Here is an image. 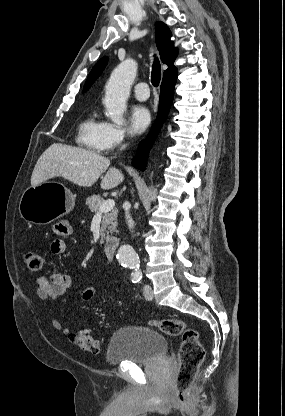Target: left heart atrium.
<instances>
[{
  "mask_svg": "<svg viewBox=\"0 0 285 416\" xmlns=\"http://www.w3.org/2000/svg\"><path fill=\"white\" fill-rule=\"evenodd\" d=\"M151 120L148 109L142 105L135 106L130 114V121L135 132L140 133L144 131Z\"/></svg>",
  "mask_w": 285,
  "mask_h": 416,
  "instance_id": "obj_1",
  "label": "left heart atrium"
}]
</instances>
